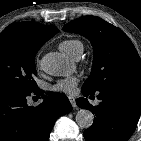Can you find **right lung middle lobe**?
I'll list each match as a JSON object with an SVG mask.
<instances>
[{"label": "right lung middle lobe", "mask_w": 141, "mask_h": 141, "mask_svg": "<svg viewBox=\"0 0 141 141\" xmlns=\"http://www.w3.org/2000/svg\"><path fill=\"white\" fill-rule=\"evenodd\" d=\"M43 44L26 34H0V90L23 93L38 89L35 55Z\"/></svg>", "instance_id": "right-lung-middle-lobe-1"}]
</instances>
